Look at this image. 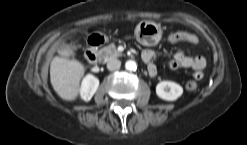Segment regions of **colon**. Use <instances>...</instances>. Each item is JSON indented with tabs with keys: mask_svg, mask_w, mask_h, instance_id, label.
Here are the masks:
<instances>
[{
	"mask_svg": "<svg viewBox=\"0 0 247 145\" xmlns=\"http://www.w3.org/2000/svg\"><path fill=\"white\" fill-rule=\"evenodd\" d=\"M184 39V35L180 32H175V33H172L168 36V40L170 42H178V41H182ZM73 50L76 49V45H73L72 47ZM203 72L200 71V72H197L195 74V79L196 80H200L202 77H203ZM185 88L188 90V91H194L198 88V83L197 81L195 80H191V81H188L186 84H185Z\"/></svg>",
	"mask_w": 247,
	"mask_h": 145,
	"instance_id": "5ec220e1",
	"label": "colon"
}]
</instances>
